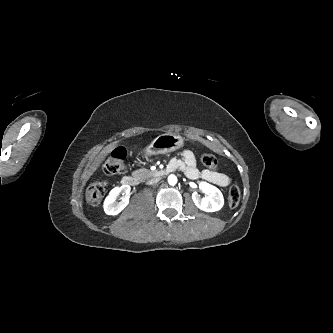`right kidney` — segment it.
Wrapping results in <instances>:
<instances>
[{
  "label": "right kidney",
  "mask_w": 333,
  "mask_h": 333,
  "mask_svg": "<svg viewBox=\"0 0 333 333\" xmlns=\"http://www.w3.org/2000/svg\"><path fill=\"white\" fill-rule=\"evenodd\" d=\"M123 194L121 201L117 202V197ZM130 186L122 185L120 187L113 188L109 195L106 197L103 207L107 215L119 214L129 203Z\"/></svg>",
  "instance_id": "obj_1"
}]
</instances>
